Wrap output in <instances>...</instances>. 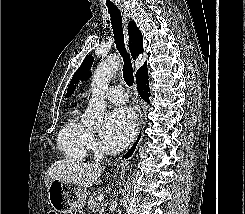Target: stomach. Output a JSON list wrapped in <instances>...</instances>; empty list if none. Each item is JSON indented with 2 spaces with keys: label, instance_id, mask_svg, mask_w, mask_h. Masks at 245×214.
I'll return each instance as SVG.
<instances>
[{
  "label": "stomach",
  "instance_id": "0dacf381",
  "mask_svg": "<svg viewBox=\"0 0 245 214\" xmlns=\"http://www.w3.org/2000/svg\"><path fill=\"white\" fill-rule=\"evenodd\" d=\"M87 189L53 179L48 187V198L52 208L62 214H69L85 206Z\"/></svg>",
  "mask_w": 245,
  "mask_h": 214
}]
</instances>
